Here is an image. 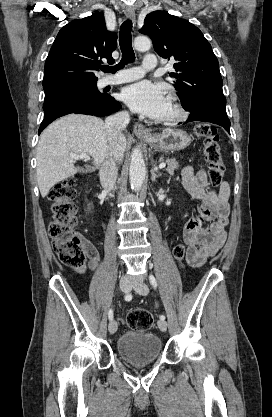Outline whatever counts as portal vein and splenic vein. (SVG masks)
<instances>
[{
  "instance_id": "18ae733b",
  "label": "portal vein and splenic vein",
  "mask_w": 272,
  "mask_h": 417,
  "mask_svg": "<svg viewBox=\"0 0 272 417\" xmlns=\"http://www.w3.org/2000/svg\"><path fill=\"white\" fill-rule=\"evenodd\" d=\"M70 157L74 160H79V159H84L85 161L90 160V157L85 153H81V154L70 153ZM165 166H166L165 163H161L159 165V169H163L165 168Z\"/></svg>"
}]
</instances>
